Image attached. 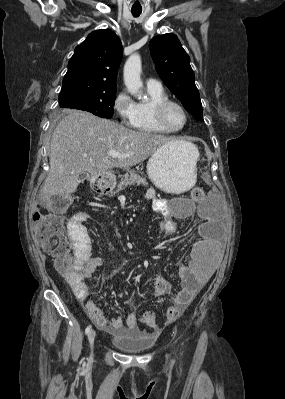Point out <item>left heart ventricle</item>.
Instances as JSON below:
<instances>
[{
    "instance_id": "1",
    "label": "left heart ventricle",
    "mask_w": 285,
    "mask_h": 399,
    "mask_svg": "<svg viewBox=\"0 0 285 399\" xmlns=\"http://www.w3.org/2000/svg\"><path fill=\"white\" fill-rule=\"evenodd\" d=\"M167 121L172 127H180L184 122V117L177 107L172 106L167 111Z\"/></svg>"
}]
</instances>
